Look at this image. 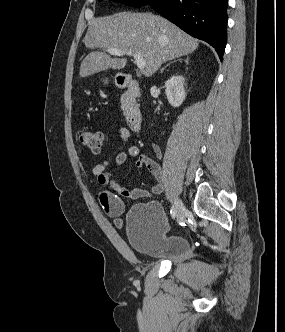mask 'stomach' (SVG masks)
Here are the masks:
<instances>
[{
    "label": "stomach",
    "mask_w": 285,
    "mask_h": 332,
    "mask_svg": "<svg viewBox=\"0 0 285 332\" xmlns=\"http://www.w3.org/2000/svg\"><path fill=\"white\" fill-rule=\"evenodd\" d=\"M102 82H103L104 84H108L109 80H108V78H103V79H102Z\"/></svg>",
    "instance_id": "stomach-1"
}]
</instances>
